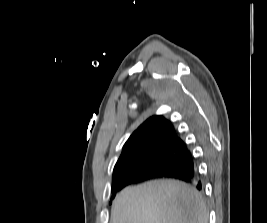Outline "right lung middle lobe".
I'll use <instances>...</instances> for the list:
<instances>
[{
  "instance_id": "1",
  "label": "right lung middle lobe",
  "mask_w": 267,
  "mask_h": 223,
  "mask_svg": "<svg viewBox=\"0 0 267 223\" xmlns=\"http://www.w3.org/2000/svg\"><path fill=\"white\" fill-rule=\"evenodd\" d=\"M186 151L180 148H166L161 150L154 157L145 161H135L127 164L124 169L125 173L136 170H151L155 172H167L172 169L184 156ZM114 198V195H112Z\"/></svg>"
}]
</instances>
